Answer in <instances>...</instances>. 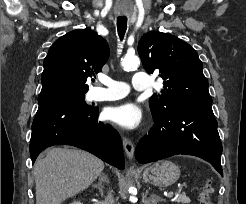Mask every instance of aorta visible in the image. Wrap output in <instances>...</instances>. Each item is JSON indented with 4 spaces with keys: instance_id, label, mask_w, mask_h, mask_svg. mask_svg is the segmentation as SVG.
Returning a JSON list of instances; mask_svg holds the SVG:
<instances>
[{
    "instance_id": "obj_1",
    "label": "aorta",
    "mask_w": 246,
    "mask_h": 204,
    "mask_svg": "<svg viewBox=\"0 0 246 204\" xmlns=\"http://www.w3.org/2000/svg\"><path fill=\"white\" fill-rule=\"evenodd\" d=\"M140 64V59L136 55H126L122 60H121V65L124 69H130L137 67ZM130 192L134 191V187H130L129 189ZM134 199V196H130V200Z\"/></svg>"
}]
</instances>
